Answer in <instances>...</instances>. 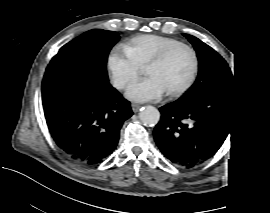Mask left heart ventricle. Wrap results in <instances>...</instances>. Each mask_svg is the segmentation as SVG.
Here are the masks:
<instances>
[{
	"mask_svg": "<svg viewBox=\"0 0 270 213\" xmlns=\"http://www.w3.org/2000/svg\"><path fill=\"white\" fill-rule=\"evenodd\" d=\"M193 58L189 51L179 49L171 53L162 63L149 69V74L156 77L167 90L182 86L189 78Z\"/></svg>",
	"mask_w": 270,
	"mask_h": 213,
	"instance_id": "left-heart-ventricle-1",
	"label": "left heart ventricle"
}]
</instances>
